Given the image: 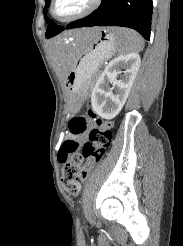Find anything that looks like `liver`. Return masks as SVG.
I'll list each match as a JSON object with an SVG mask.
<instances>
[{
  "instance_id": "1",
  "label": "liver",
  "mask_w": 183,
  "mask_h": 246,
  "mask_svg": "<svg viewBox=\"0 0 183 246\" xmlns=\"http://www.w3.org/2000/svg\"><path fill=\"white\" fill-rule=\"evenodd\" d=\"M99 28H84L59 36L50 43V54L56 66L57 73L60 80H65L72 69L73 55L68 52L64 46L63 41L68 37H76L81 40L87 41L94 37Z\"/></svg>"
}]
</instances>
